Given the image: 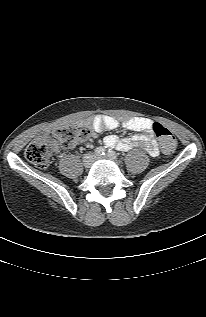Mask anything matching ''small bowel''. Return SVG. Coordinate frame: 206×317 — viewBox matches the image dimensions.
<instances>
[{
	"label": "small bowel",
	"instance_id": "c3829d8e",
	"mask_svg": "<svg viewBox=\"0 0 206 317\" xmlns=\"http://www.w3.org/2000/svg\"><path fill=\"white\" fill-rule=\"evenodd\" d=\"M153 121L148 118L134 117L120 121L107 115H96L74 123L76 127L90 129L91 136L95 137L106 130L124 128L135 131L137 134L129 138H119L116 135H108L104 138L107 147H114L120 151H128L131 148H143L151 156H157L159 148L153 137ZM53 150L58 151L59 146L53 143Z\"/></svg>",
	"mask_w": 206,
	"mask_h": 317
}]
</instances>
